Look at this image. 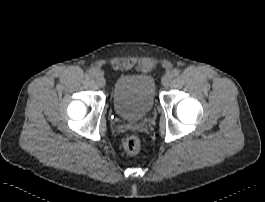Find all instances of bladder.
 Here are the masks:
<instances>
[{
	"label": "bladder",
	"instance_id": "31cf9c89",
	"mask_svg": "<svg viewBox=\"0 0 265 202\" xmlns=\"http://www.w3.org/2000/svg\"><path fill=\"white\" fill-rule=\"evenodd\" d=\"M156 101L155 80L149 75L120 76L113 88L112 103L117 116L126 121L145 117Z\"/></svg>",
	"mask_w": 265,
	"mask_h": 202
}]
</instances>
